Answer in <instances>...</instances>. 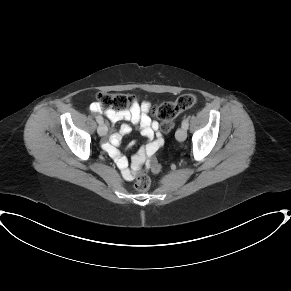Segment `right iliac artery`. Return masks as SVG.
<instances>
[{
    "label": "right iliac artery",
    "instance_id": "obj_1",
    "mask_svg": "<svg viewBox=\"0 0 291 291\" xmlns=\"http://www.w3.org/2000/svg\"><path fill=\"white\" fill-rule=\"evenodd\" d=\"M96 121H97L99 124L103 123V118H102V116L97 115V116H96Z\"/></svg>",
    "mask_w": 291,
    "mask_h": 291
}]
</instances>
